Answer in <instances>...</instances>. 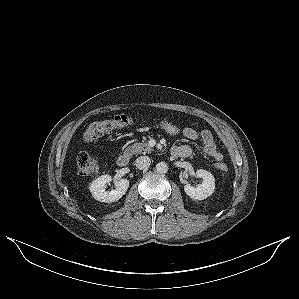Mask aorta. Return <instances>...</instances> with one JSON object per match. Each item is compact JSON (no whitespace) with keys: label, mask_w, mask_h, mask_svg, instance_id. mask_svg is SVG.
I'll return each instance as SVG.
<instances>
[{"label":"aorta","mask_w":299,"mask_h":299,"mask_svg":"<svg viewBox=\"0 0 299 299\" xmlns=\"http://www.w3.org/2000/svg\"><path fill=\"white\" fill-rule=\"evenodd\" d=\"M156 171L160 174L167 173L168 171V165L165 162H159L156 165Z\"/></svg>","instance_id":"obj_1"}]
</instances>
